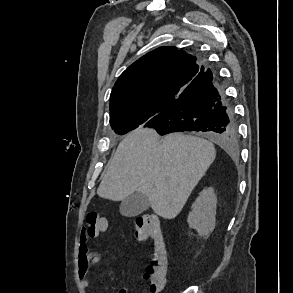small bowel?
Here are the masks:
<instances>
[{
    "label": "small bowel",
    "instance_id": "small-bowel-1",
    "mask_svg": "<svg viewBox=\"0 0 293 293\" xmlns=\"http://www.w3.org/2000/svg\"><path fill=\"white\" fill-rule=\"evenodd\" d=\"M107 228L103 231L105 232ZM102 260L101 254L89 251L87 237L81 234L79 237V251L77 257L78 273L81 277V284L84 288L90 287V282L86 279L91 265L99 264ZM119 293H127L126 289H121Z\"/></svg>",
    "mask_w": 293,
    "mask_h": 293
}]
</instances>
